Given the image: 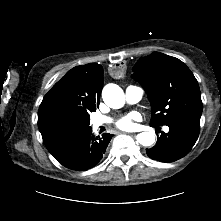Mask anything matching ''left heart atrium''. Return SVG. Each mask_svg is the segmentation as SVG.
I'll list each match as a JSON object with an SVG mask.
<instances>
[{
    "label": "left heart atrium",
    "mask_w": 221,
    "mask_h": 221,
    "mask_svg": "<svg viewBox=\"0 0 221 221\" xmlns=\"http://www.w3.org/2000/svg\"><path fill=\"white\" fill-rule=\"evenodd\" d=\"M141 120V116L137 112H130L120 116L114 120V124L121 130H133L136 127V122Z\"/></svg>",
    "instance_id": "left-heart-atrium-1"
}]
</instances>
